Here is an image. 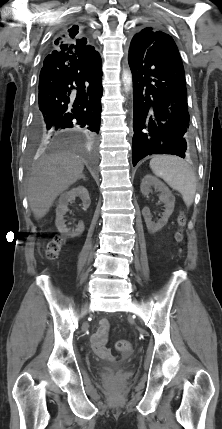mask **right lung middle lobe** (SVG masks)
<instances>
[{
    "instance_id": "obj_1",
    "label": "right lung middle lobe",
    "mask_w": 222,
    "mask_h": 429,
    "mask_svg": "<svg viewBox=\"0 0 222 429\" xmlns=\"http://www.w3.org/2000/svg\"><path fill=\"white\" fill-rule=\"evenodd\" d=\"M31 139L33 141H35L37 144L40 143L41 145H45V143H46L45 138L41 134L36 135V136L31 135Z\"/></svg>"
}]
</instances>
